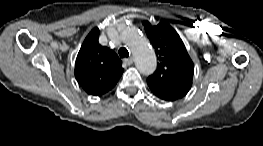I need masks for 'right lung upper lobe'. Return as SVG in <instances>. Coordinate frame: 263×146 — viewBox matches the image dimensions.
Wrapping results in <instances>:
<instances>
[{
  "label": "right lung upper lobe",
  "instance_id": "cb5924a9",
  "mask_svg": "<svg viewBox=\"0 0 263 146\" xmlns=\"http://www.w3.org/2000/svg\"><path fill=\"white\" fill-rule=\"evenodd\" d=\"M96 27L85 38L75 63V78L86 93L101 96L118 82L124 69L117 54L98 42Z\"/></svg>",
  "mask_w": 263,
  "mask_h": 146
}]
</instances>
